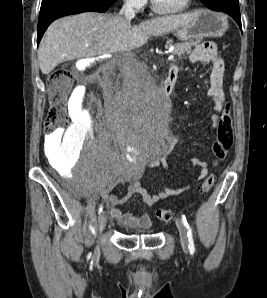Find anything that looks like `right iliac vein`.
<instances>
[{
  "label": "right iliac vein",
  "mask_w": 267,
  "mask_h": 298,
  "mask_svg": "<svg viewBox=\"0 0 267 298\" xmlns=\"http://www.w3.org/2000/svg\"><path fill=\"white\" fill-rule=\"evenodd\" d=\"M106 223H107V215L106 213L103 211L99 217H98V227H99V231L102 232L106 226ZM99 254V247H97L95 249V253L94 255H98Z\"/></svg>",
  "instance_id": "63e3f726"
}]
</instances>
